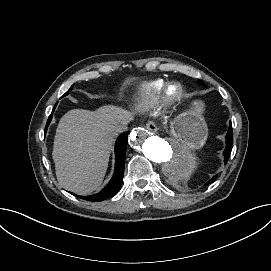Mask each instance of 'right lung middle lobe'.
Here are the masks:
<instances>
[{
	"instance_id": "right-lung-middle-lobe-1",
	"label": "right lung middle lobe",
	"mask_w": 271,
	"mask_h": 271,
	"mask_svg": "<svg viewBox=\"0 0 271 271\" xmlns=\"http://www.w3.org/2000/svg\"><path fill=\"white\" fill-rule=\"evenodd\" d=\"M73 87V86H72ZM72 87L62 96V97H64V96H66V95H68L69 93H70V91L72 90ZM61 97V98H62Z\"/></svg>"
}]
</instances>
